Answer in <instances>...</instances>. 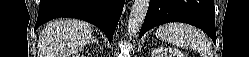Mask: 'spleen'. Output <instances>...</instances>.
Listing matches in <instances>:
<instances>
[{
	"instance_id": "spleen-1",
	"label": "spleen",
	"mask_w": 249,
	"mask_h": 57,
	"mask_svg": "<svg viewBox=\"0 0 249 57\" xmlns=\"http://www.w3.org/2000/svg\"><path fill=\"white\" fill-rule=\"evenodd\" d=\"M156 37L172 45L198 51L201 57H212L211 43L205 33L184 23H168L160 26Z\"/></svg>"
}]
</instances>
